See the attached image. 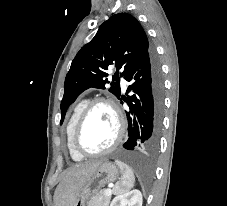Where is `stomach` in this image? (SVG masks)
Listing matches in <instances>:
<instances>
[{"label": "stomach", "instance_id": "stomach-1", "mask_svg": "<svg viewBox=\"0 0 227 206\" xmlns=\"http://www.w3.org/2000/svg\"><path fill=\"white\" fill-rule=\"evenodd\" d=\"M120 175L115 164L109 161H102L95 173L88 179L78 192L77 199L73 206H86L87 200L101 187L114 182Z\"/></svg>", "mask_w": 227, "mask_h": 206}]
</instances>
